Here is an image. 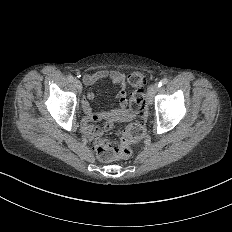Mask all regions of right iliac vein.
Segmentation results:
<instances>
[{
  "label": "right iliac vein",
  "mask_w": 232,
  "mask_h": 232,
  "mask_svg": "<svg viewBox=\"0 0 232 232\" xmlns=\"http://www.w3.org/2000/svg\"><path fill=\"white\" fill-rule=\"evenodd\" d=\"M73 84L76 86V88H77V92L78 93H81L82 92V85L80 84V81L79 80H74L73 81Z\"/></svg>",
  "instance_id": "obj_1"
}]
</instances>
